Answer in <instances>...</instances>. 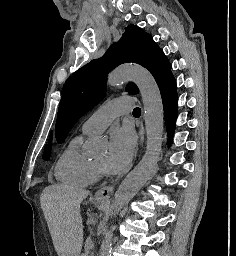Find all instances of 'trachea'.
<instances>
[{"instance_id": "trachea-1", "label": "trachea", "mask_w": 236, "mask_h": 256, "mask_svg": "<svg viewBox=\"0 0 236 256\" xmlns=\"http://www.w3.org/2000/svg\"><path fill=\"white\" fill-rule=\"evenodd\" d=\"M141 114V108H134L133 115Z\"/></svg>"}]
</instances>
